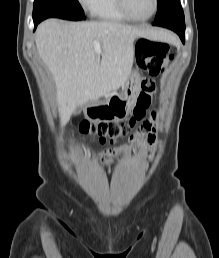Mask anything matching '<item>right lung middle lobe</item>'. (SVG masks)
Listing matches in <instances>:
<instances>
[{
	"label": "right lung middle lobe",
	"mask_w": 219,
	"mask_h": 258,
	"mask_svg": "<svg viewBox=\"0 0 219 258\" xmlns=\"http://www.w3.org/2000/svg\"><path fill=\"white\" fill-rule=\"evenodd\" d=\"M62 11L76 15H84L77 0H35L33 5V21L50 17L49 14Z\"/></svg>",
	"instance_id": "obj_1"
}]
</instances>
